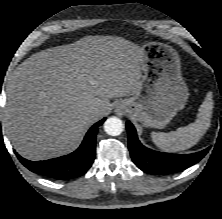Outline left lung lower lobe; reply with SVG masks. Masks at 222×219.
Here are the masks:
<instances>
[{
  "label": "left lung lower lobe",
  "mask_w": 222,
  "mask_h": 219,
  "mask_svg": "<svg viewBox=\"0 0 222 219\" xmlns=\"http://www.w3.org/2000/svg\"><path fill=\"white\" fill-rule=\"evenodd\" d=\"M194 50L206 60L204 52L192 45ZM128 131V148L133 162L144 172L151 174H171L184 170L200 161L208 152L209 148L197 153L178 155L162 153L143 146L138 140L136 130L132 123L126 122Z\"/></svg>",
  "instance_id": "0a47b994"
}]
</instances>
